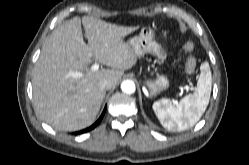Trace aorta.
<instances>
[{"instance_id":"1","label":"aorta","mask_w":249,"mask_h":165,"mask_svg":"<svg viewBox=\"0 0 249 165\" xmlns=\"http://www.w3.org/2000/svg\"><path fill=\"white\" fill-rule=\"evenodd\" d=\"M121 90H122L124 93L132 94V93H134L135 90H136L135 83H134L132 80H124V81L121 83Z\"/></svg>"}]
</instances>
